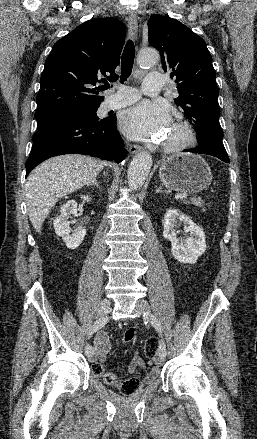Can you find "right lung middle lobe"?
I'll return each instance as SVG.
<instances>
[{
  "label": "right lung middle lobe",
  "instance_id": "obj_1",
  "mask_svg": "<svg viewBox=\"0 0 257 439\" xmlns=\"http://www.w3.org/2000/svg\"><path fill=\"white\" fill-rule=\"evenodd\" d=\"M97 109H98V107L86 108V109L77 110L73 113L87 114V115H91L92 117L98 119V117L96 115Z\"/></svg>",
  "mask_w": 257,
  "mask_h": 439
}]
</instances>
